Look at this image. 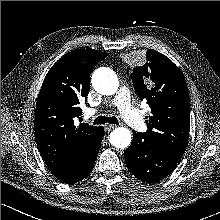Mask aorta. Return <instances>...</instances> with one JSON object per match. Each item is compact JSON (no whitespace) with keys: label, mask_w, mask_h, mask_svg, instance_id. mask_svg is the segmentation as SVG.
Listing matches in <instances>:
<instances>
[{"label":"aorta","mask_w":220,"mask_h":220,"mask_svg":"<svg viewBox=\"0 0 220 220\" xmlns=\"http://www.w3.org/2000/svg\"><path fill=\"white\" fill-rule=\"evenodd\" d=\"M92 85L102 95H113L118 90L119 81L117 75L111 69L103 67L93 73ZM109 141L114 147L125 149L131 144V131L124 127L116 128L110 133Z\"/></svg>","instance_id":"1"}]
</instances>
